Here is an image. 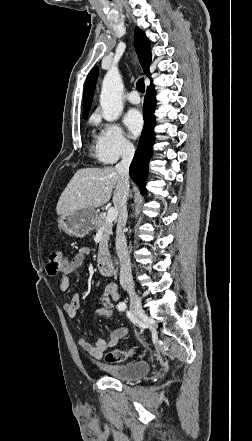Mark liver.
Listing matches in <instances>:
<instances>
[{
  "label": "liver",
  "mask_w": 252,
  "mask_h": 441,
  "mask_svg": "<svg viewBox=\"0 0 252 441\" xmlns=\"http://www.w3.org/2000/svg\"><path fill=\"white\" fill-rule=\"evenodd\" d=\"M113 194L116 209L123 195L120 174L114 167L79 169L62 192L56 211L58 215L83 208H98L106 204Z\"/></svg>",
  "instance_id": "obj_1"
}]
</instances>
